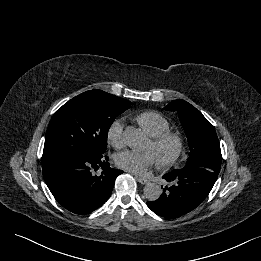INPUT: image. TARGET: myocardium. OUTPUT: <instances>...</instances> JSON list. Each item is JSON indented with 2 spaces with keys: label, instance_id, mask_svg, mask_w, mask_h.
Here are the masks:
<instances>
[{
  "label": "myocardium",
  "instance_id": "f54148a6",
  "mask_svg": "<svg viewBox=\"0 0 261 261\" xmlns=\"http://www.w3.org/2000/svg\"><path fill=\"white\" fill-rule=\"evenodd\" d=\"M150 142L156 149H163L168 146L172 147V151L168 156L157 161L161 169H166L174 165L184 152V139L178 131L167 130L158 136L151 137Z\"/></svg>",
  "mask_w": 261,
  "mask_h": 261
}]
</instances>
